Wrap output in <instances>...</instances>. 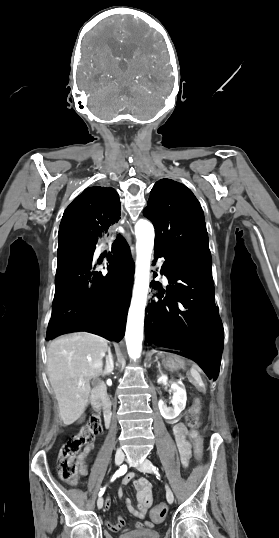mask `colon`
Returning <instances> with one entry per match:
<instances>
[{
	"label": "colon",
	"instance_id": "1",
	"mask_svg": "<svg viewBox=\"0 0 279 538\" xmlns=\"http://www.w3.org/2000/svg\"><path fill=\"white\" fill-rule=\"evenodd\" d=\"M186 421L191 428L190 438L192 440L196 457L201 461L204 457V441L197 432L200 425V404L195 402L186 415ZM103 431V425L97 415L90 417L88 422L78 433L71 436L62 446L59 452L58 471L60 477L71 483H76L83 475L80 466L75 462L83 446L90 444L96 436ZM167 514V506L164 503L156 505L152 512L153 521H161Z\"/></svg>",
	"mask_w": 279,
	"mask_h": 538
}]
</instances>
